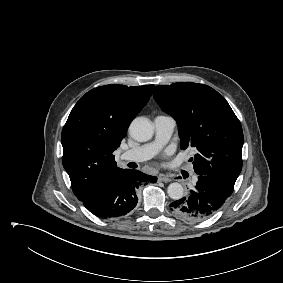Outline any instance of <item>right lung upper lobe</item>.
Wrapping results in <instances>:
<instances>
[{
    "mask_svg": "<svg viewBox=\"0 0 283 283\" xmlns=\"http://www.w3.org/2000/svg\"><path fill=\"white\" fill-rule=\"evenodd\" d=\"M153 87H97L72 109L61 135L62 163L80 201L125 170L117 167L113 152L125 137L129 123L148 102Z\"/></svg>",
    "mask_w": 283,
    "mask_h": 283,
    "instance_id": "obj_1",
    "label": "right lung upper lobe"
}]
</instances>
